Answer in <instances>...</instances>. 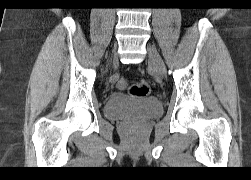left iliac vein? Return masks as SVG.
Here are the masks:
<instances>
[{"mask_svg":"<svg viewBox=\"0 0 251 180\" xmlns=\"http://www.w3.org/2000/svg\"><path fill=\"white\" fill-rule=\"evenodd\" d=\"M147 52L150 63L154 70L161 76H166V67L163 59L153 45H147Z\"/></svg>","mask_w":251,"mask_h":180,"instance_id":"left-iliac-vein-1","label":"left iliac vein"}]
</instances>
